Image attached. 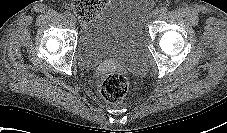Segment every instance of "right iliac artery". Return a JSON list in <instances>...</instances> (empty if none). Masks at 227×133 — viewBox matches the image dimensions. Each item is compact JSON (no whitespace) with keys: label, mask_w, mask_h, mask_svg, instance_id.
Returning <instances> with one entry per match:
<instances>
[{"label":"right iliac artery","mask_w":227,"mask_h":133,"mask_svg":"<svg viewBox=\"0 0 227 133\" xmlns=\"http://www.w3.org/2000/svg\"><path fill=\"white\" fill-rule=\"evenodd\" d=\"M64 15H65L66 17H70V16H71V12H70V11H65V12H64Z\"/></svg>","instance_id":"82829eb1"}]
</instances>
